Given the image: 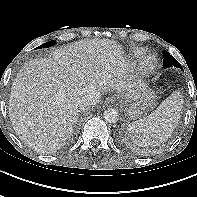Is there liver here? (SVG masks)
<instances>
[{"label": "liver", "instance_id": "1", "mask_svg": "<svg viewBox=\"0 0 197 197\" xmlns=\"http://www.w3.org/2000/svg\"><path fill=\"white\" fill-rule=\"evenodd\" d=\"M130 63L108 39L81 40L56 48L50 58L26 63L13 81L9 117L19 139L41 153H54L74 131L81 100L111 89L135 92Z\"/></svg>", "mask_w": 197, "mask_h": 197}]
</instances>
